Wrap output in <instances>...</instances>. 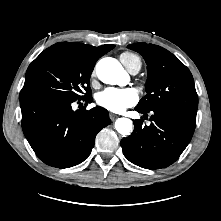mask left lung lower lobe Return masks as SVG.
<instances>
[{
	"instance_id": "left-lung-lower-lobe-1",
	"label": "left lung lower lobe",
	"mask_w": 221,
	"mask_h": 221,
	"mask_svg": "<svg viewBox=\"0 0 221 221\" xmlns=\"http://www.w3.org/2000/svg\"><path fill=\"white\" fill-rule=\"evenodd\" d=\"M135 110L145 115L151 111L152 122L144 126L142 120L133 121L134 131L121 140L125 157L146 169H160L174 163L193 136L197 110L179 106Z\"/></svg>"
}]
</instances>
